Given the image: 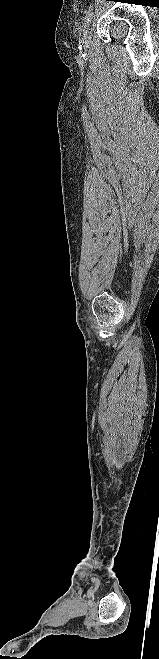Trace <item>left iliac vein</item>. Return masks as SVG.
Listing matches in <instances>:
<instances>
[{"label": "left iliac vein", "mask_w": 159, "mask_h": 659, "mask_svg": "<svg viewBox=\"0 0 159 659\" xmlns=\"http://www.w3.org/2000/svg\"><path fill=\"white\" fill-rule=\"evenodd\" d=\"M91 33H92V27L90 26V24H88L83 31L82 43L87 45L91 42Z\"/></svg>", "instance_id": "obj_1"}]
</instances>
